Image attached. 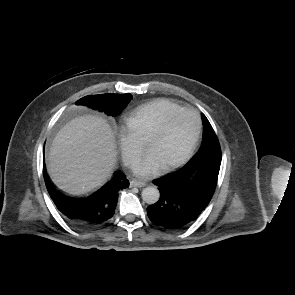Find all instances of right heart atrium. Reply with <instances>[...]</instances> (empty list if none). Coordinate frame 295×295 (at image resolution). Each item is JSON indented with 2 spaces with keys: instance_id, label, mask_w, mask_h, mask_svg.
Segmentation results:
<instances>
[{
  "instance_id": "1",
  "label": "right heart atrium",
  "mask_w": 295,
  "mask_h": 295,
  "mask_svg": "<svg viewBox=\"0 0 295 295\" xmlns=\"http://www.w3.org/2000/svg\"><path fill=\"white\" fill-rule=\"evenodd\" d=\"M118 143L122 158L127 166H133L138 160L142 146L127 127L118 130Z\"/></svg>"
}]
</instances>
